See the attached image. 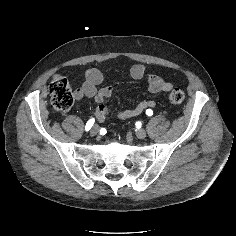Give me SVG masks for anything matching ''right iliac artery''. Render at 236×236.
<instances>
[{"instance_id":"right-iliac-artery-1","label":"right iliac artery","mask_w":236,"mask_h":236,"mask_svg":"<svg viewBox=\"0 0 236 236\" xmlns=\"http://www.w3.org/2000/svg\"><path fill=\"white\" fill-rule=\"evenodd\" d=\"M94 122H95V120H94L93 118L90 119V120L86 123L85 130H86V131H89L90 128L93 126Z\"/></svg>"}]
</instances>
